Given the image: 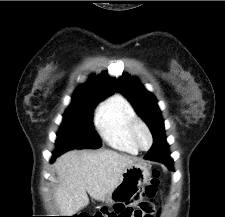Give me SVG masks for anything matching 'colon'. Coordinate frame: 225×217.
<instances>
[{
	"label": "colon",
	"mask_w": 225,
	"mask_h": 217,
	"mask_svg": "<svg viewBox=\"0 0 225 217\" xmlns=\"http://www.w3.org/2000/svg\"><path fill=\"white\" fill-rule=\"evenodd\" d=\"M158 173L154 171L149 180L143 185L137 198H152L156 193V187L158 185ZM117 211V206L114 204L111 208H104L100 212H97L94 216L89 217H114ZM85 217V216H78Z\"/></svg>",
	"instance_id": "5ec220e1"
}]
</instances>
